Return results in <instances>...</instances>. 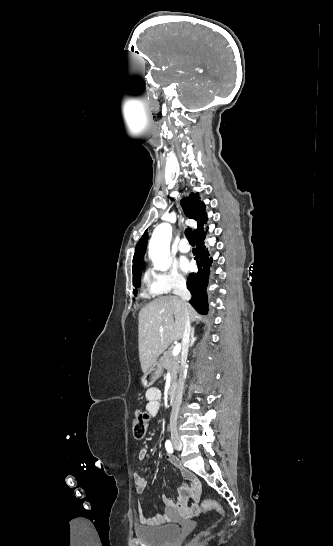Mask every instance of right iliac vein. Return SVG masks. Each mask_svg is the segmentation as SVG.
Segmentation results:
<instances>
[{"instance_id": "obj_1", "label": "right iliac vein", "mask_w": 333, "mask_h": 546, "mask_svg": "<svg viewBox=\"0 0 333 546\" xmlns=\"http://www.w3.org/2000/svg\"><path fill=\"white\" fill-rule=\"evenodd\" d=\"M171 438L174 447L180 451L182 449V442L179 437L176 434H173Z\"/></svg>"}]
</instances>
